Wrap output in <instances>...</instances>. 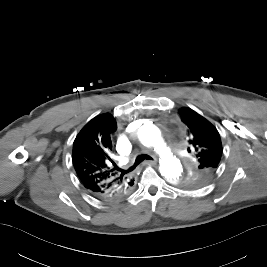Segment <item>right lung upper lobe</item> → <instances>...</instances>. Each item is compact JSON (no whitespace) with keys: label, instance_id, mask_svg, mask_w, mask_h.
<instances>
[{"label":"right lung upper lobe","instance_id":"1","mask_svg":"<svg viewBox=\"0 0 267 267\" xmlns=\"http://www.w3.org/2000/svg\"><path fill=\"white\" fill-rule=\"evenodd\" d=\"M116 121L110 114L98 115L89 121L73 143V165L83 186L93 195L108 197L124 191L134 179L118 174L111 168L110 135L116 131Z\"/></svg>","mask_w":267,"mask_h":267}]
</instances>
